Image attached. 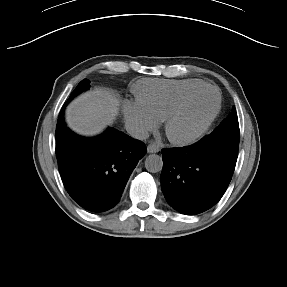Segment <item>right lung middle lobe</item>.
Here are the masks:
<instances>
[{"instance_id": "right-lung-middle-lobe-1", "label": "right lung middle lobe", "mask_w": 287, "mask_h": 287, "mask_svg": "<svg viewBox=\"0 0 287 287\" xmlns=\"http://www.w3.org/2000/svg\"><path fill=\"white\" fill-rule=\"evenodd\" d=\"M90 87V81L87 79L82 80L78 86L76 87V89L71 93L69 99L67 100V102H65V104L63 105V108L59 114V118H58V122H57V127H56V139L58 138V134L59 132L65 127V122H64V109L65 106L77 95H79L81 92L89 89Z\"/></svg>"}]
</instances>
